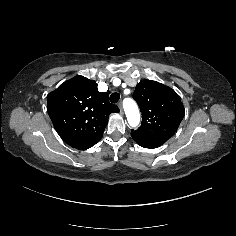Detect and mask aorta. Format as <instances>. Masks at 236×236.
Here are the masks:
<instances>
[{
  "mask_svg": "<svg viewBox=\"0 0 236 236\" xmlns=\"http://www.w3.org/2000/svg\"><path fill=\"white\" fill-rule=\"evenodd\" d=\"M123 108L129 125L136 127L140 122V113L135 101L131 98H125L123 100Z\"/></svg>",
  "mask_w": 236,
  "mask_h": 236,
  "instance_id": "obj_1",
  "label": "aorta"
}]
</instances>
